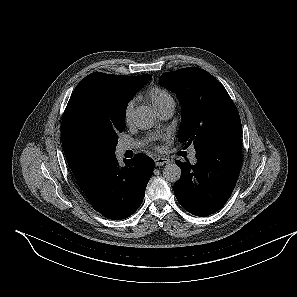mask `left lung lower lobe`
Here are the masks:
<instances>
[{"mask_svg": "<svg viewBox=\"0 0 297 297\" xmlns=\"http://www.w3.org/2000/svg\"><path fill=\"white\" fill-rule=\"evenodd\" d=\"M196 158L195 165L176 161L181 178L173 189L185 210L205 217L217 212L234 190L241 167V138L196 153Z\"/></svg>", "mask_w": 297, "mask_h": 297, "instance_id": "1", "label": "left lung lower lobe"}]
</instances>
